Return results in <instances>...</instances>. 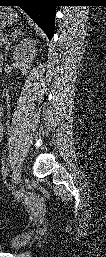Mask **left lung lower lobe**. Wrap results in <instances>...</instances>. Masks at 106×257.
<instances>
[{
  "instance_id": "1",
  "label": "left lung lower lobe",
  "mask_w": 106,
  "mask_h": 257,
  "mask_svg": "<svg viewBox=\"0 0 106 257\" xmlns=\"http://www.w3.org/2000/svg\"><path fill=\"white\" fill-rule=\"evenodd\" d=\"M1 5L21 7L51 39L54 32V0H0Z\"/></svg>"
}]
</instances>
